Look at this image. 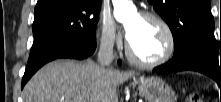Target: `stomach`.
I'll return each instance as SVG.
<instances>
[{"instance_id":"1","label":"stomach","mask_w":221,"mask_h":102,"mask_svg":"<svg viewBox=\"0 0 221 102\" xmlns=\"http://www.w3.org/2000/svg\"><path fill=\"white\" fill-rule=\"evenodd\" d=\"M139 93L147 102H175L172 88L160 78H140L136 81Z\"/></svg>"}]
</instances>
